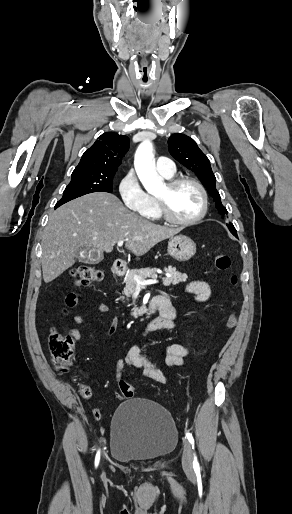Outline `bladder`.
I'll list each match as a JSON object with an SVG mask.
<instances>
[{
    "instance_id": "obj_1",
    "label": "bladder",
    "mask_w": 292,
    "mask_h": 514,
    "mask_svg": "<svg viewBox=\"0 0 292 514\" xmlns=\"http://www.w3.org/2000/svg\"><path fill=\"white\" fill-rule=\"evenodd\" d=\"M178 431L170 412L143 398L122 402L110 430L112 456L119 461H153L174 450Z\"/></svg>"
}]
</instances>
